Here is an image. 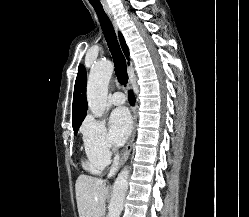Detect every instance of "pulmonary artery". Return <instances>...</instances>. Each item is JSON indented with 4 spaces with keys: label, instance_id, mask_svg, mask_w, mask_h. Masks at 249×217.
Returning <instances> with one entry per match:
<instances>
[{
    "label": "pulmonary artery",
    "instance_id": "1",
    "mask_svg": "<svg viewBox=\"0 0 249 217\" xmlns=\"http://www.w3.org/2000/svg\"><path fill=\"white\" fill-rule=\"evenodd\" d=\"M110 101L114 105H121L125 102V96L122 92H115L111 96Z\"/></svg>",
    "mask_w": 249,
    "mask_h": 217
}]
</instances>
